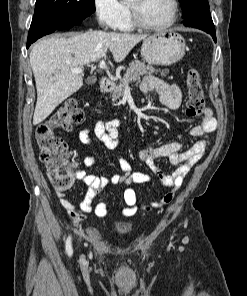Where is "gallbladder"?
I'll use <instances>...</instances> for the list:
<instances>
[{"label":"gallbladder","instance_id":"obj_1","mask_svg":"<svg viewBox=\"0 0 247 296\" xmlns=\"http://www.w3.org/2000/svg\"><path fill=\"white\" fill-rule=\"evenodd\" d=\"M96 81V78L95 77H89L87 78V84H93L94 82Z\"/></svg>","mask_w":247,"mask_h":296}]
</instances>
